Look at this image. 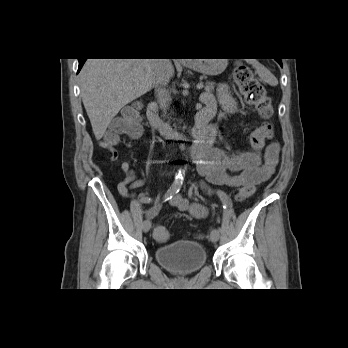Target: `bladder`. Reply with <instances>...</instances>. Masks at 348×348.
I'll return each instance as SVG.
<instances>
[{
	"instance_id": "bladder-1",
	"label": "bladder",
	"mask_w": 348,
	"mask_h": 348,
	"mask_svg": "<svg viewBox=\"0 0 348 348\" xmlns=\"http://www.w3.org/2000/svg\"><path fill=\"white\" fill-rule=\"evenodd\" d=\"M157 262L169 272L188 275L198 271L207 261L206 249L197 242L176 241L155 249Z\"/></svg>"
}]
</instances>
